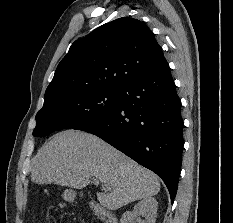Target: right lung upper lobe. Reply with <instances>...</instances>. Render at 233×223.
Instances as JSON below:
<instances>
[{
    "label": "right lung upper lobe",
    "mask_w": 233,
    "mask_h": 223,
    "mask_svg": "<svg viewBox=\"0 0 233 223\" xmlns=\"http://www.w3.org/2000/svg\"><path fill=\"white\" fill-rule=\"evenodd\" d=\"M166 64L161 46L143 22L119 18L71 45L47 87L44 104L92 88L119 89Z\"/></svg>",
    "instance_id": "obj_1"
}]
</instances>
